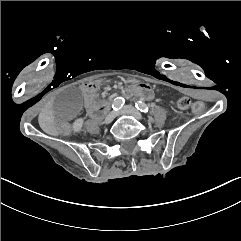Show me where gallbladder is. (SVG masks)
<instances>
[{
  "instance_id": "gallbladder-1",
  "label": "gallbladder",
  "mask_w": 241,
  "mask_h": 241,
  "mask_svg": "<svg viewBox=\"0 0 241 241\" xmlns=\"http://www.w3.org/2000/svg\"><path fill=\"white\" fill-rule=\"evenodd\" d=\"M82 100L77 87L71 86L63 90L54 100V110L59 120L65 121L78 114Z\"/></svg>"
}]
</instances>
